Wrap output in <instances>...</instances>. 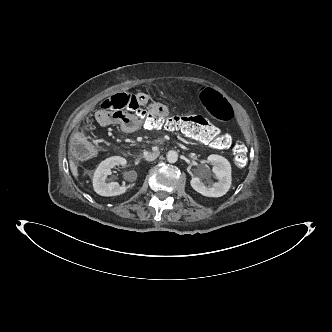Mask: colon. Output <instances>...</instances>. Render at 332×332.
Segmentation results:
<instances>
[{
	"instance_id": "obj_1",
	"label": "colon",
	"mask_w": 332,
	"mask_h": 332,
	"mask_svg": "<svg viewBox=\"0 0 332 332\" xmlns=\"http://www.w3.org/2000/svg\"><path fill=\"white\" fill-rule=\"evenodd\" d=\"M200 103L208 109V112L219 121L228 120L231 117V106L225 102L223 97L214 89L206 88L200 92ZM101 109L130 110L136 114L141 127L156 133L159 129L179 131L189 137L209 143L218 149H226L231 144V137L227 133H221L211 122L201 116H175L169 115L166 119L155 117L152 113L143 110L138 104L136 95L130 93H118L103 101ZM89 121L81 124L78 133L71 142V150L77 158H88L92 155L87 131ZM234 161L238 167H243L247 162V149L245 144L238 140L233 146Z\"/></svg>"
}]
</instances>
